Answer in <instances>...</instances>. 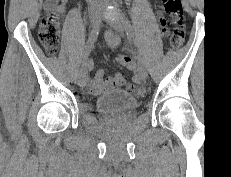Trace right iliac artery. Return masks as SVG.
I'll return each instance as SVG.
<instances>
[{
  "mask_svg": "<svg viewBox=\"0 0 231 177\" xmlns=\"http://www.w3.org/2000/svg\"><path fill=\"white\" fill-rule=\"evenodd\" d=\"M99 30H100V26L98 24L95 27H93V29L89 35L87 45H86V48H85V51H84L83 57H82V66L87 65V59H88V57H89V55H90V53L94 47L95 41L97 40Z\"/></svg>",
  "mask_w": 231,
  "mask_h": 177,
  "instance_id": "right-iliac-artery-1",
  "label": "right iliac artery"
}]
</instances>
